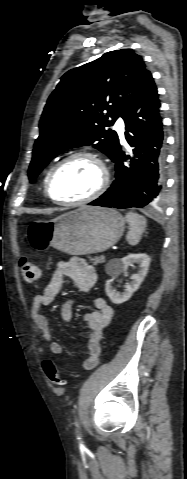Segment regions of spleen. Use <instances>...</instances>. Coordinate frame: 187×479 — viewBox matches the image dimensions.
<instances>
[{"instance_id": "3e777b00", "label": "spleen", "mask_w": 187, "mask_h": 479, "mask_svg": "<svg viewBox=\"0 0 187 479\" xmlns=\"http://www.w3.org/2000/svg\"><path fill=\"white\" fill-rule=\"evenodd\" d=\"M125 217L130 226V229L126 235V240L132 246L137 245L143 232L145 231L147 220L144 216L135 212H128L126 213Z\"/></svg>"}]
</instances>
